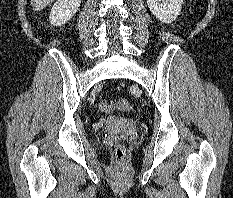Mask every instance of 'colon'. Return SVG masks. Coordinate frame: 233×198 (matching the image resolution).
Segmentation results:
<instances>
[{"mask_svg":"<svg viewBox=\"0 0 233 198\" xmlns=\"http://www.w3.org/2000/svg\"><path fill=\"white\" fill-rule=\"evenodd\" d=\"M116 107L121 110H129L130 105L125 99H121L116 103ZM99 109L102 112L110 113L113 110V106L108 101L102 100L99 102ZM115 157L118 161H123L125 158V147L123 145H117L115 148Z\"/></svg>","mask_w":233,"mask_h":198,"instance_id":"1","label":"colon"}]
</instances>
